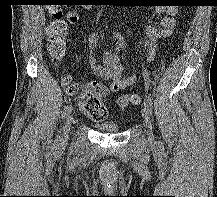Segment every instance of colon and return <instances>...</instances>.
Returning a JSON list of instances; mask_svg holds the SVG:
<instances>
[{"label":"colon","instance_id":"obj_1","mask_svg":"<svg viewBox=\"0 0 217 197\" xmlns=\"http://www.w3.org/2000/svg\"><path fill=\"white\" fill-rule=\"evenodd\" d=\"M46 8L52 17L47 28L48 51L51 57L58 61L62 59L66 51L68 26L62 19L60 0H49ZM66 88L70 95L78 91V85L70 82L66 84ZM107 92V87L104 84L89 80L82 93L77 96L76 104L89 119L96 122L104 121L108 115L107 107L103 101ZM141 102L142 98L138 94L121 96L117 100L121 108H126L129 104L139 105Z\"/></svg>","mask_w":217,"mask_h":197}]
</instances>
